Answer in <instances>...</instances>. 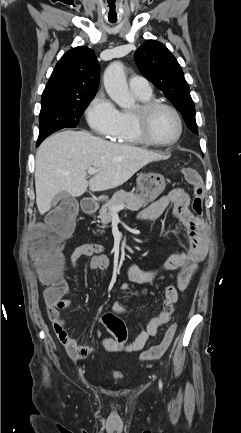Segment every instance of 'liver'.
Masks as SVG:
<instances>
[{
	"mask_svg": "<svg viewBox=\"0 0 241 433\" xmlns=\"http://www.w3.org/2000/svg\"><path fill=\"white\" fill-rule=\"evenodd\" d=\"M160 154L129 145L115 144L87 131L67 130L55 133L40 145L36 153V204L41 215L51 209L52 199L65 191L73 197L116 188L128 181ZM95 168L89 181L87 170Z\"/></svg>",
	"mask_w": 241,
	"mask_h": 433,
	"instance_id": "liver-1",
	"label": "liver"
}]
</instances>
